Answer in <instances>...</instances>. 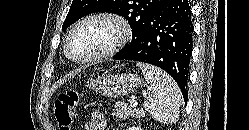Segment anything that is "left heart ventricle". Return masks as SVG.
Masks as SVG:
<instances>
[{"label":"left heart ventricle","mask_w":249,"mask_h":130,"mask_svg":"<svg viewBox=\"0 0 249 130\" xmlns=\"http://www.w3.org/2000/svg\"><path fill=\"white\" fill-rule=\"evenodd\" d=\"M119 35L116 24L96 20L81 26L72 36L69 52L75 58H84L110 47Z\"/></svg>","instance_id":"obj_1"}]
</instances>
